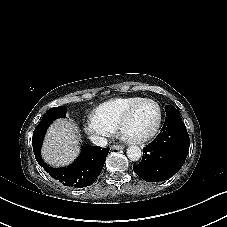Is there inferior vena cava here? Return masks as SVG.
Segmentation results:
<instances>
[{
	"instance_id": "1",
	"label": "inferior vena cava",
	"mask_w": 227,
	"mask_h": 227,
	"mask_svg": "<svg viewBox=\"0 0 227 227\" xmlns=\"http://www.w3.org/2000/svg\"><path fill=\"white\" fill-rule=\"evenodd\" d=\"M91 141L93 142V144L100 147H105L107 145V139L98 135H92Z\"/></svg>"
}]
</instances>
